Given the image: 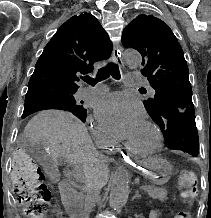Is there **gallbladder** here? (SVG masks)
<instances>
[{"mask_svg": "<svg viewBox=\"0 0 211 218\" xmlns=\"http://www.w3.org/2000/svg\"><path fill=\"white\" fill-rule=\"evenodd\" d=\"M64 162V158H62V156H60V158H58V164H63Z\"/></svg>", "mask_w": 211, "mask_h": 218, "instance_id": "obj_1", "label": "gallbladder"}]
</instances>
